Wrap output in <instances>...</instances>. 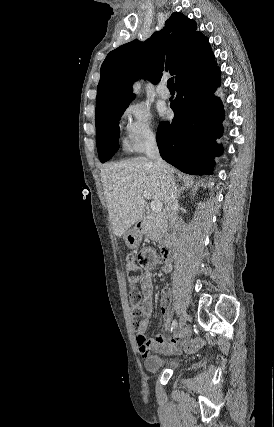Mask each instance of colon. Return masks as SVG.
Masks as SVG:
<instances>
[{
	"label": "colon",
	"mask_w": 274,
	"mask_h": 427,
	"mask_svg": "<svg viewBox=\"0 0 274 427\" xmlns=\"http://www.w3.org/2000/svg\"><path fill=\"white\" fill-rule=\"evenodd\" d=\"M147 256L144 252L133 251L129 253L127 257V281L130 290V310H132L133 318H140L142 316V310L138 307L140 299V292L136 285L141 278L142 266L146 263ZM203 344V337H197L191 341H188L185 346L189 352L197 351Z\"/></svg>",
	"instance_id": "colon-1"
}]
</instances>
